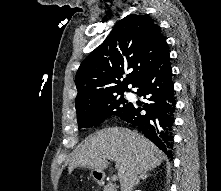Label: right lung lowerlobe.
Masks as SVG:
<instances>
[{
  "label": "right lung lower lobe",
  "mask_w": 221,
  "mask_h": 191,
  "mask_svg": "<svg viewBox=\"0 0 221 191\" xmlns=\"http://www.w3.org/2000/svg\"><path fill=\"white\" fill-rule=\"evenodd\" d=\"M170 56L167 52L135 87L146 102L132 104L123 120L137 126L168 157H172L174 124V86L171 80ZM146 111V114L141 113Z\"/></svg>",
  "instance_id": "98d812e1"
}]
</instances>
